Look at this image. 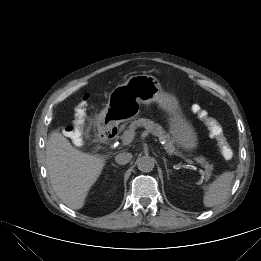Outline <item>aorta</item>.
Listing matches in <instances>:
<instances>
[{
  "label": "aorta",
  "instance_id": "1",
  "mask_svg": "<svg viewBox=\"0 0 261 261\" xmlns=\"http://www.w3.org/2000/svg\"><path fill=\"white\" fill-rule=\"evenodd\" d=\"M136 164L140 171L150 172L155 166V159L147 155L140 156L137 158Z\"/></svg>",
  "mask_w": 261,
  "mask_h": 261
}]
</instances>
